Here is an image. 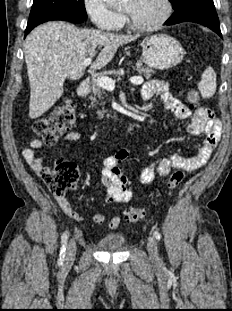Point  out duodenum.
<instances>
[{
	"mask_svg": "<svg viewBox=\"0 0 232 311\" xmlns=\"http://www.w3.org/2000/svg\"><path fill=\"white\" fill-rule=\"evenodd\" d=\"M90 90V80L89 79H83L80 84H79V87H78V95L79 96H85L88 94Z\"/></svg>",
	"mask_w": 232,
	"mask_h": 311,
	"instance_id": "1",
	"label": "duodenum"
}]
</instances>
